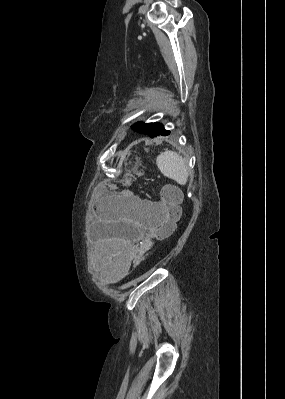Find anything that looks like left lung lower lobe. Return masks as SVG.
I'll return each instance as SVG.
<instances>
[{"mask_svg": "<svg viewBox=\"0 0 285 399\" xmlns=\"http://www.w3.org/2000/svg\"><path fill=\"white\" fill-rule=\"evenodd\" d=\"M170 133V132H169ZM169 133L168 134H166V135H164V136H167V135H169ZM151 138H153V137H156L155 135H149Z\"/></svg>", "mask_w": 285, "mask_h": 399, "instance_id": "left-lung-lower-lobe-1", "label": "left lung lower lobe"}]
</instances>
